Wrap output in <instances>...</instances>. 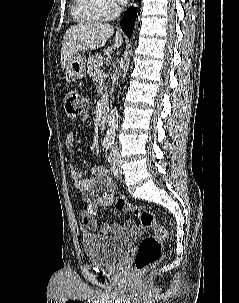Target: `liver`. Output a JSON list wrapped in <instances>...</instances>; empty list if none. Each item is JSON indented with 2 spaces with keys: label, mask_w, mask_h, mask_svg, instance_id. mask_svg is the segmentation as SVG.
<instances>
[{
  "label": "liver",
  "mask_w": 239,
  "mask_h": 303,
  "mask_svg": "<svg viewBox=\"0 0 239 303\" xmlns=\"http://www.w3.org/2000/svg\"><path fill=\"white\" fill-rule=\"evenodd\" d=\"M114 34V28L97 21H88L71 26L65 33L61 48V65L65 69L66 62L79 51L95 50L103 47ZM123 43L121 33L116 32L113 48Z\"/></svg>",
  "instance_id": "1"
}]
</instances>
